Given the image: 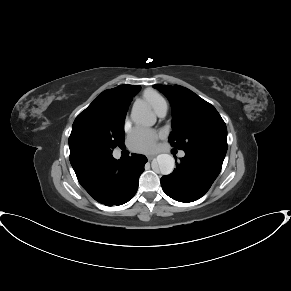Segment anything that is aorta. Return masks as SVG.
<instances>
[{
    "label": "aorta",
    "instance_id": "aorta-1",
    "mask_svg": "<svg viewBox=\"0 0 291 291\" xmlns=\"http://www.w3.org/2000/svg\"><path fill=\"white\" fill-rule=\"evenodd\" d=\"M131 119L137 125L146 127L153 126L156 123V116L145 103L135 104L132 108ZM156 163L161 174L168 175L174 170L175 160L169 154H159Z\"/></svg>",
    "mask_w": 291,
    "mask_h": 291
}]
</instances>
